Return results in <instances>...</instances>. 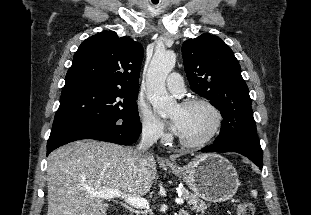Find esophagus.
<instances>
[{
  "instance_id": "obj_1",
  "label": "esophagus",
  "mask_w": 311,
  "mask_h": 215,
  "mask_svg": "<svg viewBox=\"0 0 311 215\" xmlns=\"http://www.w3.org/2000/svg\"><path fill=\"white\" fill-rule=\"evenodd\" d=\"M165 163H167V164H171V160L166 159V160H165Z\"/></svg>"
}]
</instances>
